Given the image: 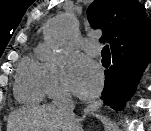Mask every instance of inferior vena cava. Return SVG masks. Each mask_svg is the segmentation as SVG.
<instances>
[{"instance_id": "1", "label": "inferior vena cava", "mask_w": 151, "mask_h": 131, "mask_svg": "<svg viewBox=\"0 0 151 131\" xmlns=\"http://www.w3.org/2000/svg\"><path fill=\"white\" fill-rule=\"evenodd\" d=\"M53 103L54 106L61 109L62 111L72 114L73 101L71 99L70 93L67 90H62V92L54 98Z\"/></svg>"}]
</instances>
